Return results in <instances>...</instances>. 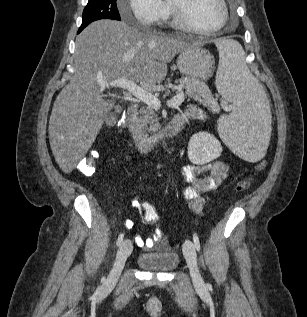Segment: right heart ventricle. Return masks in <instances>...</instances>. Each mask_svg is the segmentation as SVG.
I'll list each match as a JSON object with an SVG mask.
<instances>
[{"mask_svg":"<svg viewBox=\"0 0 307 317\" xmlns=\"http://www.w3.org/2000/svg\"><path fill=\"white\" fill-rule=\"evenodd\" d=\"M165 5H166V8H167V15H166V18H167L170 15V9H169V5H168L167 2L165 3Z\"/></svg>","mask_w":307,"mask_h":317,"instance_id":"e07e8e85","label":"right heart ventricle"}]
</instances>
